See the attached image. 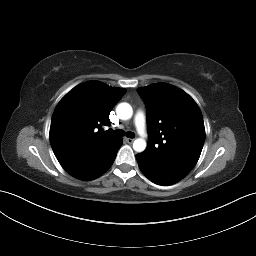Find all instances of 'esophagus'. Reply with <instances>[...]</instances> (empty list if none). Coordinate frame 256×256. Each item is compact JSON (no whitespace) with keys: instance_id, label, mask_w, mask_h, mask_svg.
<instances>
[{"instance_id":"34e87169","label":"esophagus","mask_w":256,"mask_h":256,"mask_svg":"<svg viewBox=\"0 0 256 256\" xmlns=\"http://www.w3.org/2000/svg\"><path fill=\"white\" fill-rule=\"evenodd\" d=\"M125 141L129 144L133 143L134 139L132 138H125Z\"/></svg>"}]
</instances>
